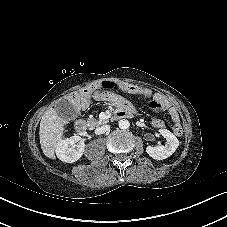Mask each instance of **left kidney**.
<instances>
[{"mask_svg": "<svg viewBox=\"0 0 227 227\" xmlns=\"http://www.w3.org/2000/svg\"><path fill=\"white\" fill-rule=\"evenodd\" d=\"M159 133L166 139L165 145L148 146L146 152L156 160H163L171 156L179 146L177 137L167 129H159Z\"/></svg>", "mask_w": 227, "mask_h": 227, "instance_id": "1", "label": "left kidney"}]
</instances>
